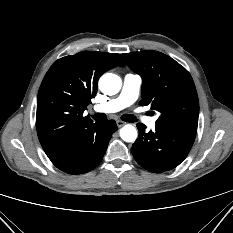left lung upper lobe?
I'll return each instance as SVG.
<instances>
[{"label": "left lung upper lobe", "instance_id": "left-lung-upper-lobe-1", "mask_svg": "<svg viewBox=\"0 0 233 233\" xmlns=\"http://www.w3.org/2000/svg\"><path fill=\"white\" fill-rule=\"evenodd\" d=\"M122 55L128 66L142 77L140 104L150 105L160 114L156 125L196 131L199 102L189 72L171 57L157 51Z\"/></svg>", "mask_w": 233, "mask_h": 233}]
</instances>
